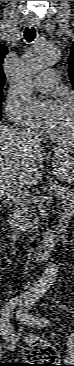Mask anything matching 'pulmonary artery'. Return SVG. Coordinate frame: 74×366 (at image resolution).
Listing matches in <instances>:
<instances>
[{"instance_id": "e3ab8cb5", "label": "pulmonary artery", "mask_w": 74, "mask_h": 366, "mask_svg": "<svg viewBox=\"0 0 74 366\" xmlns=\"http://www.w3.org/2000/svg\"><path fill=\"white\" fill-rule=\"evenodd\" d=\"M59 80V72L55 69L43 71L32 83V87L38 91H48L56 87Z\"/></svg>"}]
</instances>
